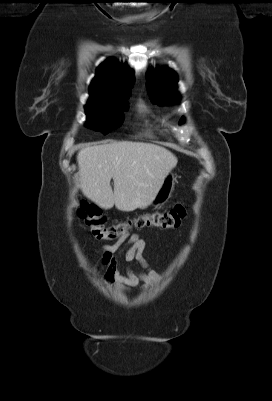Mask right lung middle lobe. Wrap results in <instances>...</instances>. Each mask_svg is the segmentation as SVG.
Here are the masks:
<instances>
[{
  "label": "right lung middle lobe",
  "instance_id": "right-lung-middle-lobe-1",
  "mask_svg": "<svg viewBox=\"0 0 272 401\" xmlns=\"http://www.w3.org/2000/svg\"><path fill=\"white\" fill-rule=\"evenodd\" d=\"M129 94L90 99L85 106L87 125L107 134L118 128L123 120V111L128 109Z\"/></svg>",
  "mask_w": 272,
  "mask_h": 401
}]
</instances>
